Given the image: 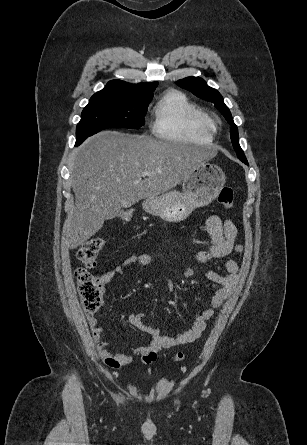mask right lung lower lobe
I'll use <instances>...</instances> for the list:
<instances>
[{"label": "right lung lower lobe", "mask_w": 307, "mask_h": 445, "mask_svg": "<svg viewBox=\"0 0 307 445\" xmlns=\"http://www.w3.org/2000/svg\"><path fill=\"white\" fill-rule=\"evenodd\" d=\"M82 142H83V141H81V140H76V144H75V146L80 145Z\"/></svg>", "instance_id": "obj_1"}]
</instances>
